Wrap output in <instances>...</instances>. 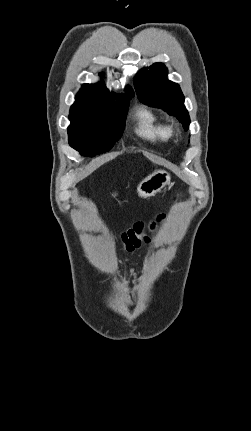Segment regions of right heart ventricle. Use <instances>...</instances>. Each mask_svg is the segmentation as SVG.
Returning <instances> with one entry per match:
<instances>
[{
  "instance_id": "e07e8e85",
  "label": "right heart ventricle",
  "mask_w": 251,
  "mask_h": 431,
  "mask_svg": "<svg viewBox=\"0 0 251 431\" xmlns=\"http://www.w3.org/2000/svg\"><path fill=\"white\" fill-rule=\"evenodd\" d=\"M135 116L138 122L136 132L141 137L153 143H166L171 139V126L161 114L142 107Z\"/></svg>"
}]
</instances>
